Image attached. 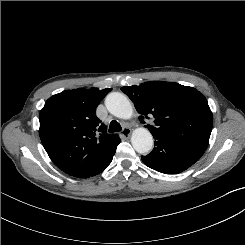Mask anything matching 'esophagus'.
Instances as JSON below:
<instances>
[{"label": "esophagus", "mask_w": 245, "mask_h": 245, "mask_svg": "<svg viewBox=\"0 0 245 245\" xmlns=\"http://www.w3.org/2000/svg\"><path fill=\"white\" fill-rule=\"evenodd\" d=\"M131 133H132V130H131L130 128H128V127H125V128L122 130L121 135H122L123 137H125V138H129L130 135H131Z\"/></svg>", "instance_id": "obj_1"}]
</instances>
